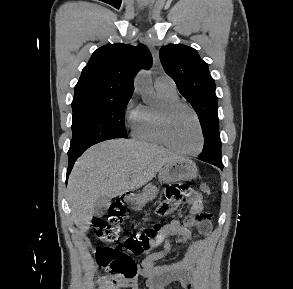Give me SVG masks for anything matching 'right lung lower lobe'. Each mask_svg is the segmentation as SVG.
I'll return each instance as SVG.
<instances>
[{
  "mask_svg": "<svg viewBox=\"0 0 293 289\" xmlns=\"http://www.w3.org/2000/svg\"><path fill=\"white\" fill-rule=\"evenodd\" d=\"M90 146L92 145H85L76 149H69L68 151V158H69V166H68V170H67V179L68 176L73 168V165L76 161V159L85 151L87 150Z\"/></svg>",
  "mask_w": 293,
  "mask_h": 289,
  "instance_id": "98d812e1",
  "label": "right lung lower lobe"
}]
</instances>
